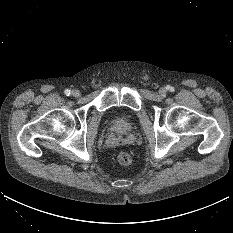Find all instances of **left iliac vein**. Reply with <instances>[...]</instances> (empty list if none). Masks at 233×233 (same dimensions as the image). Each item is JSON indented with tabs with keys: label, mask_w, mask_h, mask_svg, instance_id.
Returning <instances> with one entry per match:
<instances>
[{
	"label": "left iliac vein",
	"mask_w": 233,
	"mask_h": 233,
	"mask_svg": "<svg viewBox=\"0 0 233 233\" xmlns=\"http://www.w3.org/2000/svg\"><path fill=\"white\" fill-rule=\"evenodd\" d=\"M166 89L165 88H161L160 90H159V93H160V95L161 96H164V95H166Z\"/></svg>",
	"instance_id": "obj_1"
}]
</instances>
